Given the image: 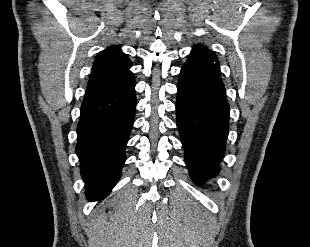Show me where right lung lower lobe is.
<instances>
[{
  "instance_id": "1",
  "label": "right lung lower lobe",
  "mask_w": 310,
  "mask_h": 247,
  "mask_svg": "<svg viewBox=\"0 0 310 247\" xmlns=\"http://www.w3.org/2000/svg\"><path fill=\"white\" fill-rule=\"evenodd\" d=\"M134 81L88 89L77 126L76 153L89 200L104 198L117 183L134 122Z\"/></svg>"
}]
</instances>
